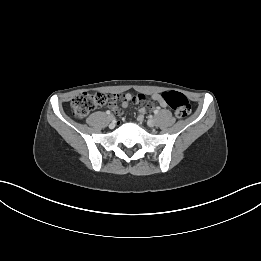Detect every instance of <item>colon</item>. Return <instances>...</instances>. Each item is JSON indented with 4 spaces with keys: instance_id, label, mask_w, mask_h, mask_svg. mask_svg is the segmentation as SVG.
<instances>
[{
    "instance_id": "obj_1",
    "label": "colon",
    "mask_w": 261,
    "mask_h": 261,
    "mask_svg": "<svg viewBox=\"0 0 261 261\" xmlns=\"http://www.w3.org/2000/svg\"><path fill=\"white\" fill-rule=\"evenodd\" d=\"M161 97L167 103V105L174 111L175 115L178 118H185L190 114L191 106L184 94L176 91H166L161 94ZM110 99L121 100V95L111 98L108 95L101 92H97L94 94L86 92L78 94L71 101V109L73 115L77 118H82L89 114L97 106L105 104Z\"/></svg>"
}]
</instances>
